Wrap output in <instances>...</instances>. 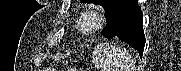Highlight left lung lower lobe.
Instances as JSON below:
<instances>
[{
	"mask_svg": "<svg viewBox=\"0 0 181 71\" xmlns=\"http://www.w3.org/2000/svg\"><path fill=\"white\" fill-rule=\"evenodd\" d=\"M107 25L102 34L107 38L117 37L137 49L142 56L145 46L143 14L137 0H117L105 12Z\"/></svg>",
	"mask_w": 181,
	"mask_h": 71,
	"instance_id": "left-lung-lower-lobe-1",
	"label": "left lung lower lobe"
}]
</instances>
